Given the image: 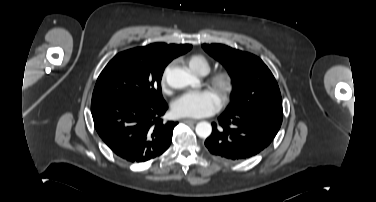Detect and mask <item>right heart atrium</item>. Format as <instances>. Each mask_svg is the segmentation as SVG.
<instances>
[{
    "instance_id": "1",
    "label": "right heart atrium",
    "mask_w": 376,
    "mask_h": 202,
    "mask_svg": "<svg viewBox=\"0 0 376 202\" xmlns=\"http://www.w3.org/2000/svg\"><path fill=\"white\" fill-rule=\"evenodd\" d=\"M169 67H167L162 76H161V87L162 89L166 90L167 89V75H168Z\"/></svg>"
}]
</instances>
